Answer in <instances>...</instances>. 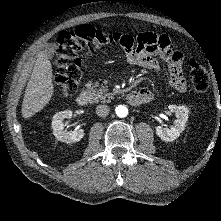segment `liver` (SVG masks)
Here are the masks:
<instances>
[{"mask_svg":"<svg viewBox=\"0 0 221 221\" xmlns=\"http://www.w3.org/2000/svg\"><path fill=\"white\" fill-rule=\"evenodd\" d=\"M52 74L51 62L41 51L25 90L21 109L23 118L32 117L49 103L54 92Z\"/></svg>","mask_w":221,"mask_h":221,"instance_id":"liver-1","label":"liver"}]
</instances>
